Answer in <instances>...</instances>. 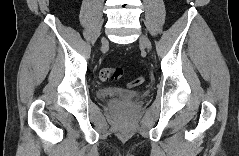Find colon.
Returning <instances> with one entry per match:
<instances>
[{
    "instance_id": "1",
    "label": "colon",
    "mask_w": 239,
    "mask_h": 156,
    "mask_svg": "<svg viewBox=\"0 0 239 156\" xmlns=\"http://www.w3.org/2000/svg\"><path fill=\"white\" fill-rule=\"evenodd\" d=\"M123 75L121 67H106L101 70L100 76L103 81L117 80ZM142 77H138L129 82L130 87L138 86L143 82Z\"/></svg>"
}]
</instances>
